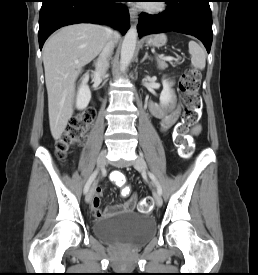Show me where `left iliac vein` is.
<instances>
[{"instance_id":"1","label":"left iliac vein","mask_w":258,"mask_h":275,"mask_svg":"<svg viewBox=\"0 0 258 275\" xmlns=\"http://www.w3.org/2000/svg\"><path fill=\"white\" fill-rule=\"evenodd\" d=\"M133 166L138 171L144 172L147 170V164L143 157L139 156L133 163ZM154 198L157 206H162V197L158 192L154 193Z\"/></svg>"}]
</instances>
